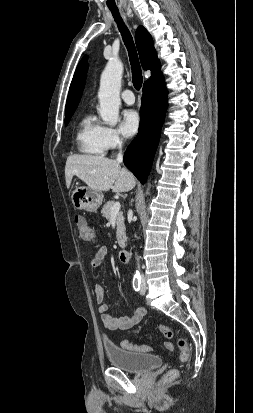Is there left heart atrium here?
<instances>
[{
	"instance_id": "left-heart-atrium-1",
	"label": "left heart atrium",
	"mask_w": 253,
	"mask_h": 413,
	"mask_svg": "<svg viewBox=\"0 0 253 413\" xmlns=\"http://www.w3.org/2000/svg\"><path fill=\"white\" fill-rule=\"evenodd\" d=\"M140 127V116L137 111L129 109L123 112L120 129L125 137L134 136Z\"/></svg>"
}]
</instances>
